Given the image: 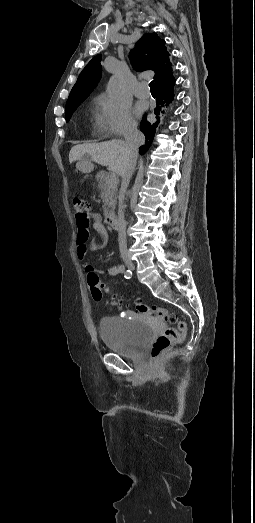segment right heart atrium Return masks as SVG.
I'll use <instances>...</instances> for the list:
<instances>
[{"label": "right heart atrium", "mask_w": 255, "mask_h": 523, "mask_svg": "<svg viewBox=\"0 0 255 523\" xmlns=\"http://www.w3.org/2000/svg\"><path fill=\"white\" fill-rule=\"evenodd\" d=\"M99 102L107 118V131L113 136H127L136 130V121L130 105L108 94H101Z\"/></svg>", "instance_id": "right-heart-atrium-1"}]
</instances>
